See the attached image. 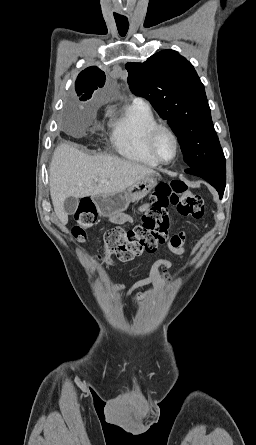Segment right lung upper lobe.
<instances>
[{
  "label": "right lung upper lobe",
  "mask_w": 256,
  "mask_h": 445,
  "mask_svg": "<svg viewBox=\"0 0 256 445\" xmlns=\"http://www.w3.org/2000/svg\"><path fill=\"white\" fill-rule=\"evenodd\" d=\"M105 83V74L96 66H91L82 71L76 80V93L81 101L91 98L92 93L97 88H101Z\"/></svg>",
  "instance_id": "1"
}]
</instances>
